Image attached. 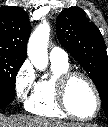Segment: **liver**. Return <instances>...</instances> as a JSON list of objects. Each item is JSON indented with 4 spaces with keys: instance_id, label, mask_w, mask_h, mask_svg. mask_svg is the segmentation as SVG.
Here are the masks:
<instances>
[{
    "instance_id": "obj_1",
    "label": "liver",
    "mask_w": 108,
    "mask_h": 127,
    "mask_svg": "<svg viewBox=\"0 0 108 127\" xmlns=\"http://www.w3.org/2000/svg\"><path fill=\"white\" fill-rule=\"evenodd\" d=\"M0 127H90L89 125L67 123L61 120L29 115H0Z\"/></svg>"
}]
</instances>
